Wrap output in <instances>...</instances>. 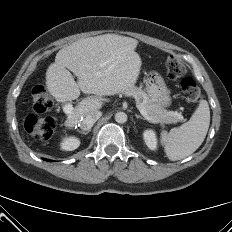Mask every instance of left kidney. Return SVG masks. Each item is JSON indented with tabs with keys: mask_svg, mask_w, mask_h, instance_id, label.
<instances>
[{
	"mask_svg": "<svg viewBox=\"0 0 232 232\" xmlns=\"http://www.w3.org/2000/svg\"><path fill=\"white\" fill-rule=\"evenodd\" d=\"M143 137H144L146 145L151 150L157 149V137L153 130H145L143 133Z\"/></svg>",
	"mask_w": 232,
	"mask_h": 232,
	"instance_id": "obj_1",
	"label": "left kidney"
}]
</instances>
